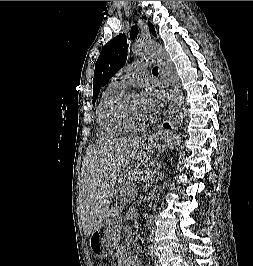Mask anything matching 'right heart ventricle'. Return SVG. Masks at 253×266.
Here are the masks:
<instances>
[{
  "label": "right heart ventricle",
  "instance_id": "e07e8e85",
  "mask_svg": "<svg viewBox=\"0 0 253 266\" xmlns=\"http://www.w3.org/2000/svg\"><path fill=\"white\" fill-rule=\"evenodd\" d=\"M125 90V86L114 80L103 91L96 110V130L100 139H113L126 133L109 120V111L113 102Z\"/></svg>",
  "mask_w": 253,
  "mask_h": 266
}]
</instances>
